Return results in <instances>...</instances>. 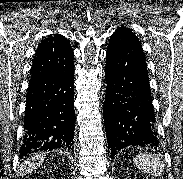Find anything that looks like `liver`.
Returning <instances> with one entry per match:
<instances>
[{"mask_svg":"<svg viewBox=\"0 0 183 179\" xmlns=\"http://www.w3.org/2000/svg\"><path fill=\"white\" fill-rule=\"evenodd\" d=\"M44 159H45V156L36 155L31 159L25 160L24 163L22 164L21 171L24 174L31 173L42 164Z\"/></svg>","mask_w":183,"mask_h":179,"instance_id":"obj_1","label":"liver"}]
</instances>
